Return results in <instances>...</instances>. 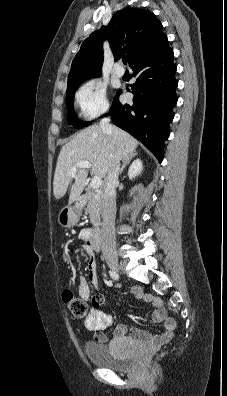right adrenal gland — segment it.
<instances>
[{"label":"right adrenal gland","instance_id":"obj_1","mask_svg":"<svg viewBox=\"0 0 227 396\" xmlns=\"http://www.w3.org/2000/svg\"><path fill=\"white\" fill-rule=\"evenodd\" d=\"M135 156H137V152L133 151L132 153L128 154L126 157H124L123 159V165L120 169L119 174H122V172L124 171L125 167L130 163V161L132 160V158H134Z\"/></svg>","mask_w":227,"mask_h":396}]
</instances>
